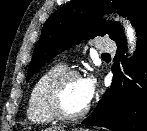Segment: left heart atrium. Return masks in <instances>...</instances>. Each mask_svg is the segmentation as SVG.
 Returning <instances> with one entry per match:
<instances>
[{"label": "left heart atrium", "mask_w": 147, "mask_h": 131, "mask_svg": "<svg viewBox=\"0 0 147 131\" xmlns=\"http://www.w3.org/2000/svg\"><path fill=\"white\" fill-rule=\"evenodd\" d=\"M81 84L85 102L89 104L96 92V79L93 76H88L81 80Z\"/></svg>", "instance_id": "39dd6f15"}]
</instances>
